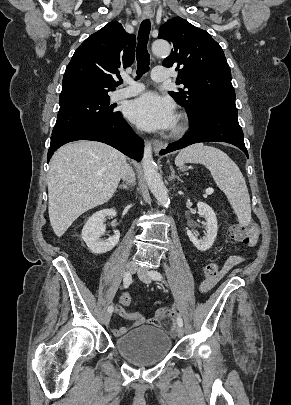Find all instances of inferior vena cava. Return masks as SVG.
I'll list each match as a JSON object with an SVG mask.
<instances>
[{"label":"inferior vena cava","mask_w":291,"mask_h":405,"mask_svg":"<svg viewBox=\"0 0 291 405\" xmlns=\"http://www.w3.org/2000/svg\"><path fill=\"white\" fill-rule=\"evenodd\" d=\"M121 177L124 180H126L129 184L135 183V174L133 172V169L126 162H124L122 166Z\"/></svg>","instance_id":"obj_1"}]
</instances>
